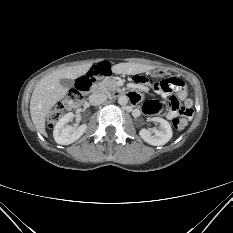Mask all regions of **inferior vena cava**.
<instances>
[{
  "instance_id": "1",
  "label": "inferior vena cava",
  "mask_w": 233,
  "mask_h": 233,
  "mask_svg": "<svg viewBox=\"0 0 233 233\" xmlns=\"http://www.w3.org/2000/svg\"><path fill=\"white\" fill-rule=\"evenodd\" d=\"M107 100V95L104 93L92 94L89 96V102L91 105L97 106Z\"/></svg>"
}]
</instances>
